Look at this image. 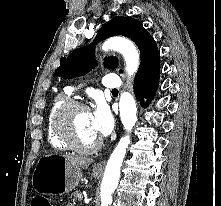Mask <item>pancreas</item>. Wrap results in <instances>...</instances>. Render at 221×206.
<instances>
[{
  "label": "pancreas",
  "mask_w": 221,
  "mask_h": 206,
  "mask_svg": "<svg viewBox=\"0 0 221 206\" xmlns=\"http://www.w3.org/2000/svg\"><path fill=\"white\" fill-rule=\"evenodd\" d=\"M82 195L80 191L76 190L74 193L71 194L70 198H73V200H75V198H78V196ZM74 202L72 203H68V206H74Z\"/></svg>",
  "instance_id": "obj_1"
}]
</instances>
